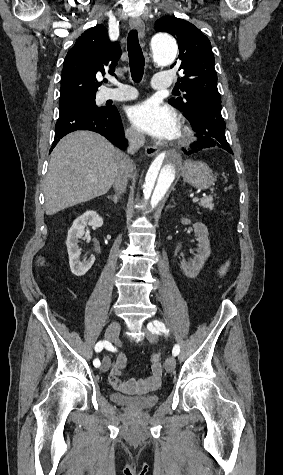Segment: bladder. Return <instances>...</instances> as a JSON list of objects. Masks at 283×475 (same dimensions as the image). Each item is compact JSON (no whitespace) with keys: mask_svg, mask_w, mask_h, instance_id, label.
Instances as JSON below:
<instances>
[{"mask_svg":"<svg viewBox=\"0 0 283 475\" xmlns=\"http://www.w3.org/2000/svg\"><path fill=\"white\" fill-rule=\"evenodd\" d=\"M113 401L117 404L127 405L136 410H147L156 406L160 401V394L141 395L139 397H127L121 393H114Z\"/></svg>","mask_w":283,"mask_h":475,"instance_id":"bladder-1","label":"bladder"}]
</instances>
